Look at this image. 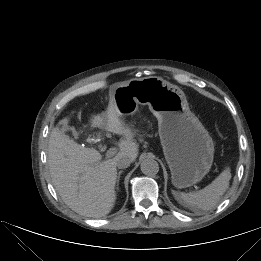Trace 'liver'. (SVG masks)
<instances>
[{"instance_id": "liver-1", "label": "liver", "mask_w": 261, "mask_h": 261, "mask_svg": "<svg viewBox=\"0 0 261 261\" xmlns=\"http://www.w3.org/2000/svg\"><path fill=\"white\" fill-rule=\"evenodd\" d=\"M121 118L112 89L107 111L103 116L93 115L90 121L92 128H104L124 138L119 143V152L111 159L102 160L94 148L83 147L70 139L59 128L67 126V117L50 134L48 165L52 183L65 204L80 215L101 218L112 210L116 200L117 157L127 155L134 161L138 156L133 131Z\"/></svg>"}]
</instances>
